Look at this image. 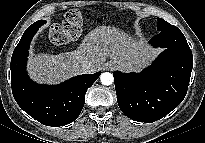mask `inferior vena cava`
<instances>
[{
  "instance_id": "602c4592",
  "label": "inferior vena cava",
  "mask_w": 205,
  "mask_h": 143,
  "mask_svg": "<svg viewBox=\"0 0 205 143\" xmlns=\"http://www.w3.org/2000/svg\"><path fill=\"white\" fill-rule=\"evenodd\" d=\"M81 71L84 74H91V73L96 72V67H95V65L92 62L84 61L81 64Z\"/></svg>"
}]
</instances>
